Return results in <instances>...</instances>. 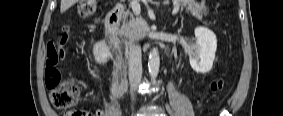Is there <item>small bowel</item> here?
<instances>
[{"label": "small bowel", "mask_w": 283, "mask_h": 116, "mask_svg": "<svg viewBox=\"0 0 283 116\" xmlns=\"http://www.w3.org/2000/svg\"><path fill=\"white\" fill-rule=\"evenodd\" d=\"M64 54V51L62 49L57 50L55 48L54 44H50L47 48V56H46V69H45V75L49 77H54L59 75V72L56 70L55 66L58 63L59 57H62ZM67 115H72L73 112H68ZM90 115L92 116H104L105 111L103 109H97L94 112H92Z\"/></svg>", "instance_id": "1"}]
</instances>
